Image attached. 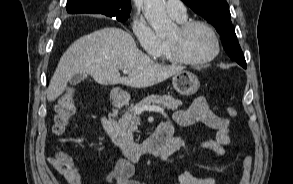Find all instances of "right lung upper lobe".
I'll list each match as a JSON object with an SVG mask.
<instances>
[{
    "label": "right lung upper lobe",
    "mask_w": 293,
    "mask_h": 184,
    "mask_svg": "<svg viewBox=\"0 0 293 184\" xmlns=\"http://www.w3.org/2000/svg\"><path fill=\"white\" fill-rule=\"evenodd\" d=\"M66 9L70 14H104L111 17L113 14H130L131 5L130 0H67Z\"/></svg>",
    "instance_id": "right-lung-upper-lobe-1"
}]
</instances>
